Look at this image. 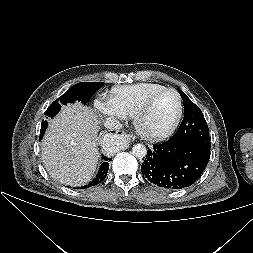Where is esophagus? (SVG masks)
<instances>
[{"label":"esophagus","instance_id":"1","mask_svg":"<svg viewBox=\"0 0 253 253\" xmlns=\"http://www.w3.org/2000/svg\"><path fill=\"white\" fill-rule=\"evenodd\" d=\"M116 133L120 136L126 137L127 139H130L131 136L129 134H126L124 131H116Z\"/></svg>","mask_w":253,"mask_h":253}]
</instances>
